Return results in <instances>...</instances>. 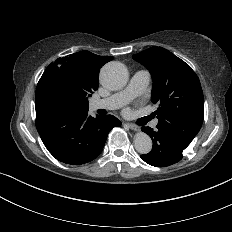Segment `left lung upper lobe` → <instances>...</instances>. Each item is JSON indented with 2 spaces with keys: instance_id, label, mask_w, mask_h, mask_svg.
I'll return each instance as SVG.
<instances>
[{
  "instance_id": "obj_1",
  "label": "left lung upper lobe",
  "mask_w": 232,
  "mask_h": 232,
  "mask_svg": "<svg viewBox=\"0 0 232 232\" xmlns=\"http://www.w3.org/2000/svg\"><path fill=\"white\" fill-rule=\"evenodd\" d=\"M133 59L149 69L153 78L151 100L158 126L191 142L204 117V97L198 76L183 60L162 47H151Z\"/></svg>"
}]
</instances>
